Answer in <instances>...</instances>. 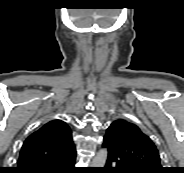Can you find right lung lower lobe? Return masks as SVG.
<instances>
[{
	"label": "right lung lower lobe",
	"mask_w": 184,
	"mask_h": 173,
	"mask_svg": "<svg viewBox=\"0 0 184 173\" xmlns=\"http://www.w3.org/2000/svg\"><path fill=\"white\" fill-rule=\"evenodd\" d=\"M75 160L76 151L58 160L19 170L16 173H80V170L74 167Z\"/></svg>",
	"instance_id": "1"
}]
</instances>
